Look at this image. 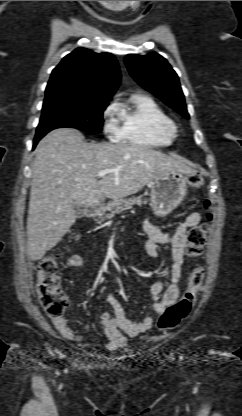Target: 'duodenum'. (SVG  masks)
<instances>
[{
	"instance_id": "410a0bca",
	"label": "duodenum",
	"mask_w": 242,
	"mask_h": 416,
	"mask_svg": "<svg viewBox=\"0 0 242 416\" xmlns=\"http://www.w3.org/2000/svg\"><path fill=\"white\" fill-rule=\"evenodd\" d=\"M100 209V205L99 204H94L92 206H90L87 211H86V216L87 217H93L95 216V214L97 213V211Z\"/></svg>"
}]
</instances>
